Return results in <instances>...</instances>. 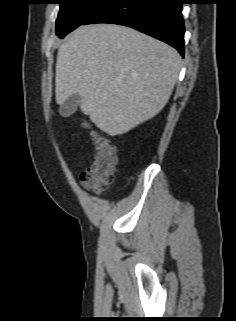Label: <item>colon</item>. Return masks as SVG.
<instances>
[{
    "instance_id": "colon-1",
    "label": "colon",
    "mask_w": 236,
    "mask_h": 321,
    "mask_svg": "<svg viewBox=\"0 0 236 321\" xmlns=\"http://www.w3.org/2000/svg\"><path fill=\"white\" fill-rule=\"evenodd\" d=\"M91 134L95 152L81 175V183L86 190L97 193L105 190L112 183L117 156L115 147L108 137L98 130H92Z\"/></svg>"
}]
</instances>
